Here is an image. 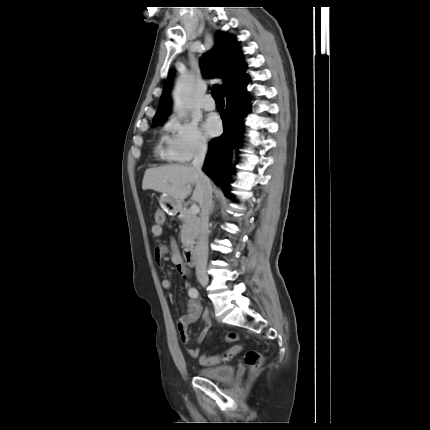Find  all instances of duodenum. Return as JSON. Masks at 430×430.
Masks as SVG:
<instances>
[{
    "label": "duodenum",
    "instance_id": "1",
    "mask_svg": "<svg viewBox=\"0 0 430 430\" xmlns=\"http://www.w3.org/2000/svg\"><path fill=\"white\" fill-rule=\"evenodd\" d=\"M184 259L188 266L193 267L196 263V250L193 244H189L184 250Z\"/></svg>",
    "mask_w": 430,
    "mask_h": 430
}]
</instances>
